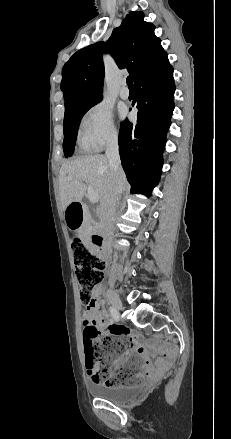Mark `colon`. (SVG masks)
<instances>
[{
  "label": "colon",
  "mask_w": 231,
  "mask_h": 439,
  "mask_svg": "<svg viewBox=\"0 0 231 439\" xmlns=\"http://www.w3.org/2000/svg\"><path fill=\"white\" fill-rule=\"evenodd\" d=\"M71 248L75 274L80 286V298L88 308L94 304L93 294L102 281L105 264L80 238L72 240ZM127 344L124 338H105L100 346L90 343L84 346L85 366L95 381L104 380L107 386H122L135 382L129 377V371L122 366L115 373H109L110 363L126 350Z\"/></svg>",
  "instance_id": "obj_1"
}]
</instances>
